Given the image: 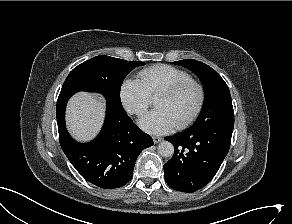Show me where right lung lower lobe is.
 Segmentation results:
<instances>
[{
	"label": "right lung lower lobe",
	"mask_w": 292,
	"mask_h": 224,
	"mask_svg": "<svg viewBox=\"0 0 292 224\" xmlns=\"http://www.w3.org/2000/svg\"><path fill=\"white\" fill-rule=\"evenodd\" d=\"M74 93H60L57 100L56 117L63 152L90 183L103 189L124 186L132 178L140 152L153 145L151 136L135 125L122 106L107 102L105 122L99 135L89 143H78L65 125L66 104Z\"/></svg>",
	"instance_id": "98d812e1"
}]
</instances>
